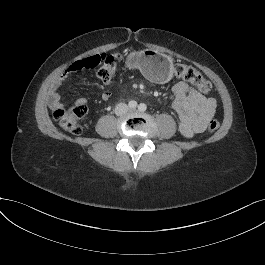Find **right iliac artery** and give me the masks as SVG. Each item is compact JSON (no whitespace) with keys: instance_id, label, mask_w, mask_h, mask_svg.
I'll use <instances>...</instances> for the list:
<instances>
[{"instance_id":"82829eb1","label":"right iliac artery","mask_w":265,"mask_h":265,"mask_svg":"<svg viewBox=\"0 0 265 265\" xmlns=\"http://www.w3.org/2000/svg\"><path fill=\"white\" fill-rule=\"evenodd\" d=\"M128 105L131 109H135L137 107V102L134 100H131Z\"/></svg>"}]
</instances>
